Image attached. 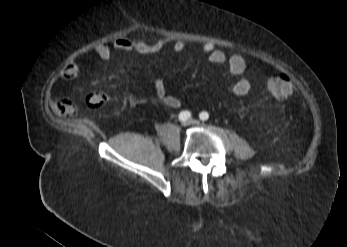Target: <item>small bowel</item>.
Masks as SVG:
<instances>
[{"mask_svg":"<svg viewBox=\"0 0 347 247\" xmlns=\"http://www.w3.org/2000/svg\"><path fill=\"white\" fill-rule=\"evenodd\" d=\"M171 47L174 52H182L185 49V42L179 39L165 38L149 40L145 37H120L113 43V48L122 51H132L140 55H153L161 52L166 47ZM94 52L103 61H108L111 57L112 49L107 43H99L94 46ZM201 50L206 54L208 61L214 65H226L227 75L233 78L228 87L229 91L236 96L247 95L252 88L250 79L247 76L248 67L245 58L239 53H226L213 43H204ZM80 75V68L76 63H69L61 71V76L67 79H74ZM153 89L157 98L169 108H179L182 101L167 94L166 83L162 79H155ZM54 114L61 117H73L77 113L76 106L68 99L55 98L50 103Z\"/></svg>","mask_w":347,"mask_h":247,"instance_id":"c3829d8e","label":"small bowel"}]
</instances>
